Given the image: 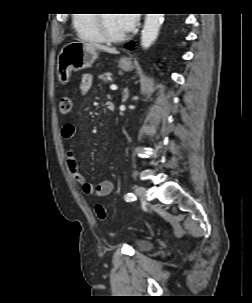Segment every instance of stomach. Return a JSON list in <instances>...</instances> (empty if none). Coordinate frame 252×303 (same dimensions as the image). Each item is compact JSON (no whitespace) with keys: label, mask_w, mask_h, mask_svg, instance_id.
Here are the masks:
<instances>
[{"label":"stomach","mask_w":252,"mask_h":303,"mask_svg":"<svg viewBox=\"0 0 252 303\" xmlns=\"http://www.w3.org/2000/svg\"><path fill=\"white\" fill-rule=\"evenodd\" d=\"M95 47L81 41L67 43L60 51L57 60L58 81L65 85L69 82L72 70H81L90 67L97 59ZM119 67L124 71H132L133 62L129 57L119 60Z\"/></svg>","instance_id":"obj_1"}]
</instances>
